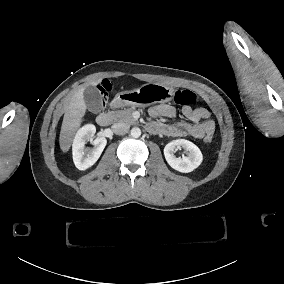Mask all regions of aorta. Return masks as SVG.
Wrapping results in <instances>:
<instances>
[{
	"instance_id": "1",
	"label": "aorta",
	"mask_w": 284,
	"mask_h": 284,
	"mask_svg": "<svg viewBox=\"0 0 284 284\" xmlns=\"http://www.w3.org/2000/svg\"><path fill=\"white\" fill-rule=\"evenodd\" d=\"M131 136L134 137V138L140 137V136H141V130H140V128H138V127H133V128L131 129Z\"/></svg>"
}]
</instances>
